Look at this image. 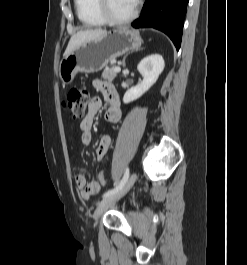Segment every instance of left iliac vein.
Wrapping results in <instances>:
<instances>
[{"instance_id":"4c4485c4","label":"left iliac vein","mask_w":247,"mask_h":265,"mask_svg":"<svg viewBox=\"0 0 247 265\" xmlns=\"http://www.w3.org/2000/svg\"><path fill=\"white\" fill-rule=\"evenodd\" d=\"M136 174L133 173L131 176L127 179L126 183L120 188L117 192L114 194H111L105 198H103L97 205V208L94 212L93 218L94 220H98L99 217L117 200H119L121 197H123L134 185L136 181Z\"/></svg>"}]
</instances>
